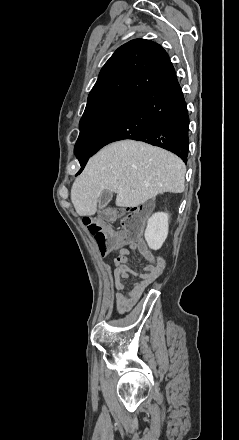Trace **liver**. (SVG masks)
<instances>
[{"label":"liver","instance_id":"6515ba94","mask_svg":"<svg viewBox=\"0 0 239 440\" xmlns=\"http://www.w3.org/2000/svg\"><path fill=\"white\" fill-rule=\"evenodd\" d=\"M186 166L178 156L134 140L114 142L90 158L76 178L71 202L78 216H94L102 190L117 194L116 206L137 208L163 192L185 190Z\"/></svg>","mask_w":239,"mask_h":440}]
</instances>
